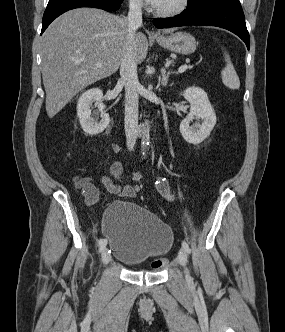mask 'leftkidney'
<instances>
[{
    "instance_id": "1",
    "label": "left kidney",
    "mask_w": 285,
    "mask_h": 332,
    "mask_svg": "<svg viewBox=\"0 0 285 332\" xmlns=\"http://www.w3.org/2000/svg\"><path fill=\"white\" fill-rule=\"evenodd\" d=\"M183 97L190 103V112L180 124L183 138L190 144L198 145L211 133L216 124V115L206 92L199 87H189ZM194 118H201L203 122L190 126Z\"/></svg>"
}]
</instances>
